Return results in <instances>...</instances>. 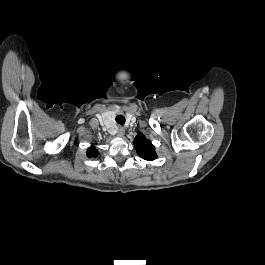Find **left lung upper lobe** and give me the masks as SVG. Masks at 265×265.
I'll list each match as a JSON object with an SVG mask.
<instances>
[{"mask_svg":"<svg viewBox=\"0 0 265 265\" xmlns=\"http://www.w3.org/2000/svg\"><path fill=\"white\" fill-rule=\"evenodd\" d=\"M135 149L143 159L152 161L157 158L155 147L152 145L151 141L145 138L141 133L137 134L134 139Z\"/></svg>","mask_w":265,"mask_h":265,"instance_id":"obj_1","label":"left lung upper lobe"}]
</instances>
